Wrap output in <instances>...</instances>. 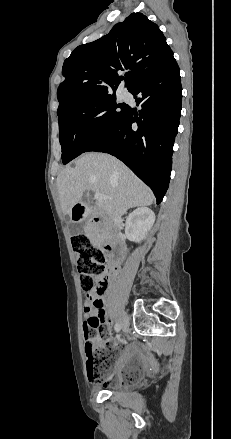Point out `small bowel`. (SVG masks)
<instances>
[{
  "mask_svg": "<svg viewBox=\"0 0 231 439\" xmlns=\"http://www.w3.org/2000/svg\"><path fill=\"white\" fill-rule=\"evenodd\" d=\"M105 291L103 293L97 294L95 292H91L87 294V302L86 307L84 310V331L89 326H91V323L94 322L96 327H102L103 323L106 319V311H105V297H104ZM95 302L100 303V307L96 308L94 306ZM97 345H101V342H98ZM134 352V348L131 346H128L124 349L123 355L121 356L120 360L117 363V368H124L125 362L132 356Z\"/></svg>",
  "mask_w": 231,
  "mask_h": 439,
  "instance_id": "small-bowel-1",
  "label": "small bowel"
}]
</instances>
